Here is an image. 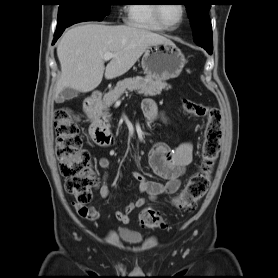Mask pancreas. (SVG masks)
<instances>
[{
    "label": "pancreas",
    "instance_id": "cf45deb5",
    "mask_svg": "<svg viewBox=\"0 0 278 278\" xmlns=\"http://www.w3.org/2000/svg\"><path fill=\"white\" fill-rule=\"evenodd\" d=\"M170 85L160 79L146 77L141 78H127L119 81L116 87L104 95L101 106L100 115L107 119L110 115L107 114L109 107L116 102L120 96L127 91H137L139 94L145 96H156L161 94L163 89H169ZM104 111V112H103Z\"/></svg>",
    "mask_w": 278,
    "mask_h": 278
}]
</instances>
